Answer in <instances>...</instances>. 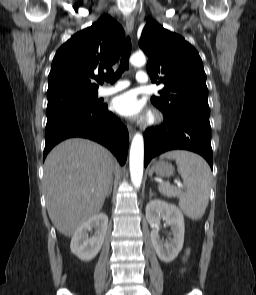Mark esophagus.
Masks as SVG:
<instances>
[{"label": "esophagus", "instance_id": "esophagus-1", "mask_svg": "<svg viewBox=\"0 0 256 295\" xmlns=\"http://www.w3.org/2000/svg\"><path fill=\"white\" fill-rule=\"evenodd\" d=\"M126 29H127V32L129 34H131L133 32V29H134V16L132 14H129L127 17H126ZM128 132H129V135L130 137L133 136L134 134V128L132 126H128Z\"/></svg>", "mask_w": 256, "mask_h": 295}]
</instances>
